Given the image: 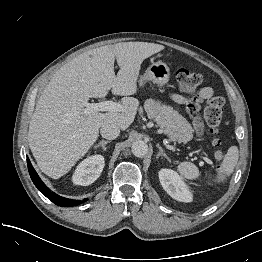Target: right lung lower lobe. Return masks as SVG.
<instances>
[{
    "label": "right lung lower lobe",
    "mask_w": 262,
    "mask_h": 262,
    "mask_svg": "<svg viewBox=\"0 0 262 262\" xmlns=\"http://www.w3.org/2000/svg\"><path fill=\"white\" fill-rule=\"evenodd\" d=\"M27 165H28L30 177L33 183L35 184V186L53 203L59 206L70 207V206L79 205L87 201V199L80 201V200H71L67 198H62L59 195H57L56 193L51 192V190L48 187H46V185L41 181V179L37 175L36 171L34 170V168L32 167L30 163L29 158H27Z\"/></svg>",
    "instance_id": "1"
}]
</instances>
